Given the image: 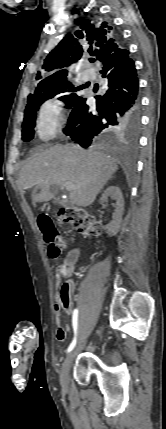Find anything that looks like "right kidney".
I'll list each match as a JSON object with an SVG mask.
<instances>
[{
  "label": "right kidney",
  "mask_w": 166,
  "mask_h": 429,
  "mask_svg": "<svg viewBox=\"0 0 166 429\" xmlns=\"http://www.w3.org/2000/svg\"><path fill=\"white\" fill-rule=\"evenodd\" d=\"M108 197L112 198L116 201L114 207V213H113V220L105 227L106 232L109 236H115L122 223V216L124 211V199L122 196V192L119 187L117 186H109L104 190L101 198L100 203L103 204L107 201Z\"/></svg>",
  "instance_id": "obj_1"
}]
</instances>
